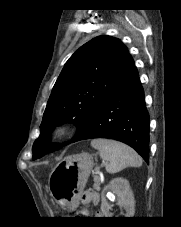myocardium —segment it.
I'll list each match as a JSON object with an SVG mask.
<instances>
[{"label": "myocardium", "mask_w": 181, "mask_h": 227, "mask_svg": "<svg viewBox=\"0 0 181 227\" xmlns=\"http://www.w3.org/2000/svg\"><path fill=\"white\" fill-rule=\"evenodd\" d=\"M68 127L65 124H59L52 130V136L56 139H63L68 134Z\"/></svg>", "instance_id": "1"}]
</instances>
